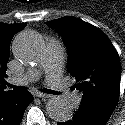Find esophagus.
<instances>
[{
  "mask_svg": "<svg viewBox=\"0 0 125 125\" xmlns=\"http://www.w3.org/2000/svg\"><path fill=\"white\" fill-rule=\"evenodd\" d=\"M34 95L38 98H50L52 97L51 95L49 94H45V93H41V92H35Z\"/></svg>",
  "mask_w": 125,
  "mask_h": 125,
  "instance_id": "obj_1",
  "label": "esophagus"
}]
</instances>
